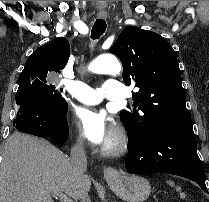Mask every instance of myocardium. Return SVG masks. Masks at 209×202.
<instances>
[{
    "label": "myocardium",
    "instance_id": "obj_1",
    "mask_svg": "<svg viewBox=\"0 0 209 202\" xmlns=\"http://www.w3.org/2000/svg\"><path fill=\"white\" fill-rule=\"evenodd\" d=\"M129 147V139L127 133L122 127L116 129V134L111 142L105 144L101 153L104 156H119L127 151Z\"/></svg>",
    "mask_w": 209,
    "mask_h": 202
}]
</instances>
